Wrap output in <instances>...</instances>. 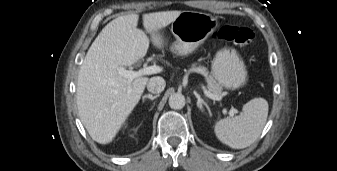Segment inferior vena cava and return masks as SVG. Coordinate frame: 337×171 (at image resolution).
Masks as SVG:
<instances>
[{
  "label": "inferior vena cava",
  "mask_w": 337,
  "mask_h": 171,
  "mask_svg": "<svg viewBox=\"0 0 337 171\" xmlns=\"http://www.w3.org/2000/svg\"><path fill=\"white\" fill-rule=\"evenodd\" d=\"M166 86L165 80L162 77H152L147 83V89L151 93H161Z\"/></svg>",
  "instance_id": "inferior-vena-cava-1"
}]
</instances>
